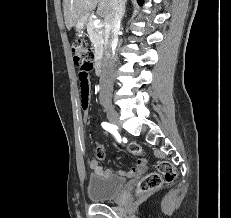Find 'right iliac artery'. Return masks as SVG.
<instances>
[{
	"instance_id": "right-iliac-artery-1",
	"label": "right iliac artery",
	"mask_w": 231,
	"mask_h": 218,
	"mask_svg": "<svg viewBox=\"0 0 231 218\" xmlns=\"http://www.w3.org/2000/svg\"><path fill=\"white\" fill-rule=\"evenodd\" d=\"M102 127H103L105 130H107V131H109L110 133H112V134L116 137V139H117L119 142H121L120 135H119V133L117 132V129H116V126H115V125H112V124L107 123V122H103V123H102Z\"/></svg>"
}]
</instances>
